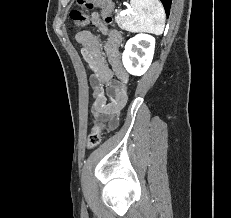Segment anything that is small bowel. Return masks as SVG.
<instances>
[{"mask_svg": "<svg viewBox=\"0 0 231 218\" xmlns=\"http://www.w3.org/2000/svg\"><path fill=\"white\" fill-rule=\"evenodd\" d=\"M91 20L101 31H105L97 13L91 15ZM76 40L81 45L82 57L91 72L92 114L94 118L108 116L109 128L113 130L118 126L120 112L129 94V76L121 63L119 52L121 36L118 32H111L102 42L91 31L83 30L76 34Z\"/></svg>", "mask_w": 231, "mask_h": 218, "instance_id": "small-bowel-1", "label": "small bowel"}]
</instances>
